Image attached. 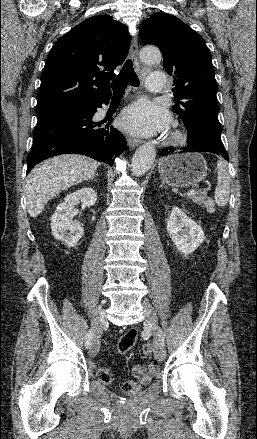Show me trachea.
Instances as JSON below:
<instances>
[{"instance_id": "trachea-1", "label": "trachea", "mask_w": 257, "mask_h": 439, "mask_svg": "<svg viewBox=\"0 0 257 439\" xmlns=\"http://www.w3.org/2000/svg\"><path fill=\"white\" fill-rule=\"evenodd\" d=\"M128 83L136 87L140 85V81L138 79L137 74L134 71L133 64L130 59H128L125 62L119 75L112 82L113 95L114 96L123 95Z\"/></svg>"}]
</instances>
